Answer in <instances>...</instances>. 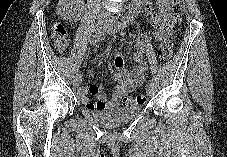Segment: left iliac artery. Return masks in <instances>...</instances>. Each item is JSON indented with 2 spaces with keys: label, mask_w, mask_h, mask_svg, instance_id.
<instances>
[{
  "label": "left iliac artery",
  "mask_w": 227,
  "mask_h": 157,
  "mask_svg": "<svg viewBox=\"0 0 227 157\" xmlns=\"http://www.w3.org/2000/svg\"><path fill=\"white\" fill-rule=\"evenodd\" d=\"M127 24H128V21L127 20H124V18H123V20H122V22L120 23V27L121 28H124V27H126L127 26ZM149 84H154V80L153 79H150L149 80Z\"/></svg>",
  "instance_id": "obj_1"
}]
</instances>
